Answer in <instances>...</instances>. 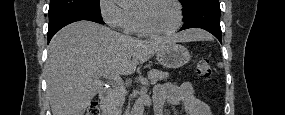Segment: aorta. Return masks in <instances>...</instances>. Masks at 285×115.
Listing matches in <instances>:
<instances>
[{
	"mask_svg": "<svg viewBox=\"0 0 285 115\" xmlns=\"http://www.w3.org/2000/svg\"><path fill=\"white\" fill-rule=\"evenodd\" d=\"M116 2L121 5L125 2V0H116ZM144 105V98H138L132 107L131 115H143Z\"/></svg>",
	"mask_w": 285,
	"mask_h": 115,
	"instance_id": "1",
	"label": "aorta"
}]
</instances>
